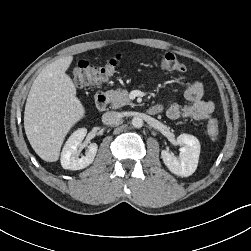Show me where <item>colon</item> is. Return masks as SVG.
Returning a JSON list of instances; mask_svg holds the SVG:
<instances>
[{
    "label": "colon",
    "mask_w": 251,
    "mask_h": 251,
    "mask_svg": "<svg viewBox=\"0 0 251 251\" xmlns=\"http://www.w3.org/2000/svg\"><path fill=\"white\" fill-rule=\"evenodd\" d=\"M119 57H114L104 64H94L87 59L78 61L71 76L78 88L100 84L107 81L115 72ZM162 69L168 71L184 72L185 65L180 62L173 53H165L160 58ZM207 132L211 139L215 140L219 135V126L216 120L208 122Z\"/></svg>",
    "instance_id": "obj_1"
}]
</instances>
